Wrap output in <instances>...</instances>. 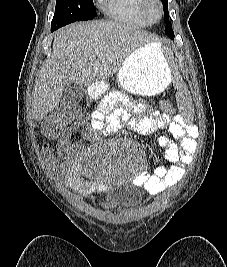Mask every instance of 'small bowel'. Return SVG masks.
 <instances>
[{
	"instance_id": "small-bowel-1",
	"label": "small bowel",
	"mask_w": 227,
	"mask_h": 267,
	"mask_svg": "<svg viewBox=\"0 0 227 267\" xmlns=\"http://www.w3.org/2000/svg\"><path fill=\"white\" fill-rule=\"evenodd\" d=\"M121 103L126 104L128 110L120 109ZM130 112L143 115L132 117ZM120 120L143 135L164 129L170 132L172 138L160 137L157 141L164 150L165 164L158 167L152 175L139 173L136 183L150 193H160L176 186L185 175L184 165L193 161L197 150L193 132L181 116H171L159 109L149 110L143 103L125 101L119 92L104 97L89 119L83 117L70 125L59 140L58 155L45 151L47 161L60 167L64 183L76 193L87 195L96 192L101 184L86 179L88 166L80 151L71 153V138L81 129L84 139L97 140L101 135L119 130Z\"/></svg>"
}]
</instances>
